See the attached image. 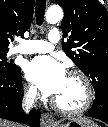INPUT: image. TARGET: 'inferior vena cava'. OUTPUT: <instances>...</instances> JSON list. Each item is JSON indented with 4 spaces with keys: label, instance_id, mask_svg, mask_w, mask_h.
Segmentation results:
<instances>
[{
    "label": "inferior vena cava",
    "instance_id": "1",
    "mask_svg": "<svg viewBox=\"0 0 108 127\" xmlns=\"http://www.w3.org/2000/svg\"><path fill=\"white\" fill-rule=\"evenodd\" d=\"M37 90L35 88H30L24 95L22 108L25 113H28L29 110L34 106Z\"/></svg>",
    "mask_w": 108,
    "mask_h": 127
}]
</instances>
